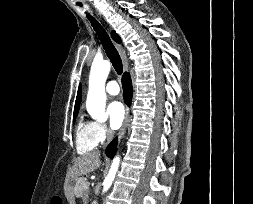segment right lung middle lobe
Instances as JSON below:
<instances>
[{"mask_svg": "<svg viewBox=\"0 0 253 204\" xmlns=\"http://www.w3.org/2000/svg\"><path fill=\"white\" fill-rule=\"evenodd\" d=\"M76 117H77V114H74V115H73V121H74V122H75Z\"/></svg>", "mask_w": 253, "mask_h": 204, "instance_id": "dd1d6c3e", "label": "right lung middle lobe"}]
</instances>
